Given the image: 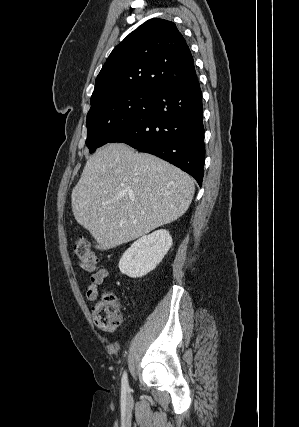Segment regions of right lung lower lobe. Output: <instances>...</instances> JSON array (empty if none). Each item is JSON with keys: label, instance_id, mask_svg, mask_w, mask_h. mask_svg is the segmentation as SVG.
Here are the masks:
<instances>
[{"label": "right lung lower lobe", "instance_id": "1", "mask_svg": "<svg viewBox=\"0 0 299 427\" xmlns=\"http://www.w3.org/2000/svg\"><path fill=\"white\" fill-rule=\"evenodd\" d=\"M202 94L197 78L160 89L148 109L109 142L156 155L202 185L205 160Z\"/></svg>", "mask_w": 299, "mask_h": 427}]
</instances>
